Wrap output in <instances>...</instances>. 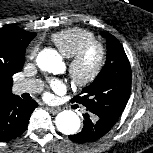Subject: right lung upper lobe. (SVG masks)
Here are the masks:
<instances>
[{"mask_svg": "<svg viewBox=\"0 0 153 153\" xmlns=\"http://www.w3.org/2000/svg\"><path fill=\"white\" fill-rule=\"evenodd\" d=\"M35 33L8 25L0 28V101L12 96V75L21 71L26 47Z\"/></svg>", "mask_w": 153, "mask_h": 153, "instance_id": "1", "label": "right lung upper lobe"}]
</instances>
